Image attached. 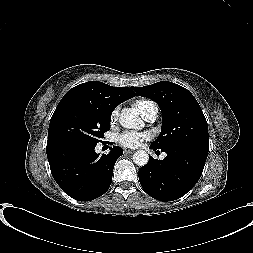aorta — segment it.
Returning a JSON list of instances; mask_svg holds the SVG:
<instances>
[{"label":"aorta","mask_w":253,"mask_h":253,"mask_svg":"<svg viewBox=\"0 0 253 253\" xmlns=\"http://www.w3.org/2000/svg\"><path fill=\"white\" fill-rule=\"evenodd\" d=\"M119 123L127 129H141L144 125L139 114L130 108H124L119 115ZM149 161V155L144 150H138L133 155V162L138 166H144Z\"/></svg>","instance_id":"762f6f07"}]
</instances>
